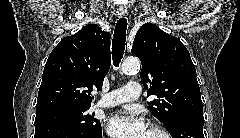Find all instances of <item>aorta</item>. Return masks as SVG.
<instances>
[{
    "label": "aorta",
    "instance_id": "aorta-1",
    "mask_svg": "<svg viewBox=\"0 0 240 138\" xmlns=\"http://www.w3.org/2000/svg\"><path fill=\"white\" fill-rule=\"evenodd\" d=\"M140 68V61L137 58H127L121 65V73L129 74Z\"/></svg>",
    "mask_w": 240,
    "mask_h": 138
}]
</instances>
